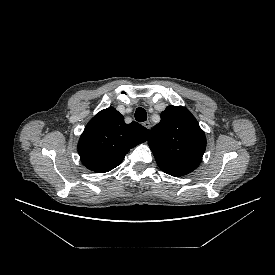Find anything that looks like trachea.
<instances>
[{
  "mask_svg": "<svg viewBox=\"0 0 275 275\" xmlns=\"http://www.w3.org/2000/svg\"><path fill=\"white\" fill-rule=\"evenodd\" d=\"M135 120L138 122H144L147 120V113L145 109L139 107L135 111Z\"/></svg>",
  "mask_w": 275,
  "mask_h": 275,
  "instance_id": "trachea-1",
  "label": "trachea"
}]
</instances>
